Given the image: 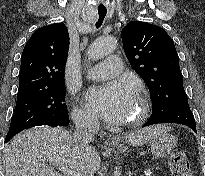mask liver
Listing matches in <instances>:
<instances>
[{"mask_svg": "<svg viewBox=\"0 0 205 176\" xmlns=\"http://www.w3.org/2000/svg\"><path fill=\"white\" fill-rule=\"evenodd\" d=\"M156 129L158 126L132 133L125 141L133 146L142 145ZM4 159L5 176H60L54 167L93 176L101 165L96 149L81 146L68 131L52 127L30 129L16 135L6 145Z\"/></svg>", "mask_w": 205, "mask_h": 176, "instance_id": "6515ba94", "label": "liver"}]
</instances>
